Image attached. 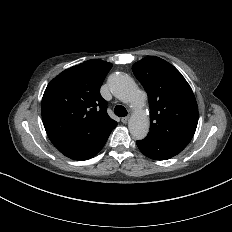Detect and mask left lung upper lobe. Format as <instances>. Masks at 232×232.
<instances>
[{
	"mask_svg": "<svg viewBox=\"0 0 232 232\" xmlns=\"http://www.w3.org/2000/svg\"><path fill=\"white\" fill-rule=\"evenodd\" d=\"M132 71L148 94V136L184 149L198 123V106L191 87L174 66L155 56L138 61Z\"/></svg>",
	"mask_w": 232,
	"mask_h": 232,
	"instance_id": "obj_1",
	"label": "left lung upper lobe"
}]
</instances>
